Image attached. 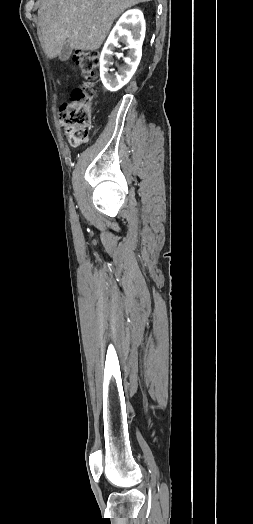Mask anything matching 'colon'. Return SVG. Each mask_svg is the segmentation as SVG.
Instances as JSON below:
<instances>
[{
    "mask_svg": "<svg viewBox=\"0 0 253 524\" xmlns=\"http://www.w3.org/2000/svg\"><path fill=\"white\" fill-rule=\"evenodd\" d=\"M99 58L100 53L96 50L79 51L75 54V63L88 82L74 89L59 111L60 126L73 147L83 145L89 140L92 127L91 103L94 97L91 80L95 75Z\"/></svg>",
    "mask_w": 253,
    "mask_h": 524,
    "instance_id": "1",
    "label": "colon"
}]
</instances>
